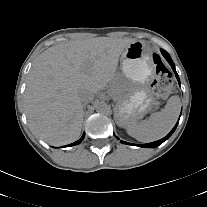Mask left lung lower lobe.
Listing matches in <instances>:
<instances>
[{
	"label": "left lung lower lobe",
	"instance_id": "left-lung-lower-lobe-1",
	"mask_svg": "<svg viewBox=\"0 0 207 207\" xmlns=\"http://www.w3.org/2000/svg\"><path fill=\"white\" fill-rule=\"evenodd\" d=\"M161 53L163 54V56L166 58V60H167V61L169 62V64L171 65V67H172V69H173V71H174V73H175V75H176V78H177V80H178V82H179V85H180V80H179L178 74H177V72H176V70H175V65H174V63H173V61H172L170 55H169L165 50H163V49H161ZM178 122H179V121H178ZM178 122H177V124H178ZM177 124H176L175 127L171 130V132H170L167 136H165L163 139L158 140V141H155V142H152V143L143 144V145H137V146H140V147H146V148H155V147L159 146L160 144H162L165 140H167V139L172 135V133L175 131V129H176V127H177ZM121 142H122V143H125V144H129V143H126V142H123V141H121ZM130 145H133V144H130Z\"/></svg>",
	"mask_w": 207,
	"mask_h": 207
}]
</instances>
